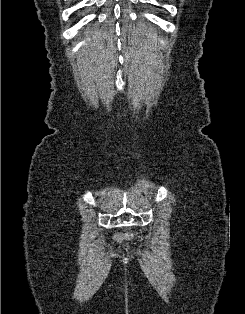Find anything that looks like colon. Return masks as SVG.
Returning <instances> with one entry per match:
<instances>
[{
  "label": "colon",
  "mask_w": 245,
  "mask_h": 314,
  "mask_svg": "<svg viewBox=\"0 0 245 314\" xmlns=\"http://www.w3.org/2000/svg\"><path fill=\"white\" fill-rule=\"evenodd\" d=\"M132 237L133 235L131 234H119L115 237V240L121 243V242L131 239Z\"/></svg>",
  "instance_id": "obj_1"
}]
</instances>
